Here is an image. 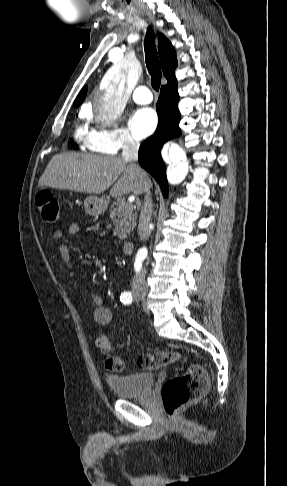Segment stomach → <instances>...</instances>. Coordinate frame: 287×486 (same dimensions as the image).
<instances>
[{
  "label": "stomach",
  "mask_w": 287,
  "mask_h": 486,
  "mask_svg": "<svg viewBox=\"0 0 287 486\" xmlns=\"http://www.w3.org/2000/svg\"><path fill=\"white\" fill-rule=\"evenodd\" d=\"M106 202L95 195H90L84 200L85 212L90 215H98L105 211Z\"/></svg>",
  "instance_id": "stomach-1"
}]
</instances>
